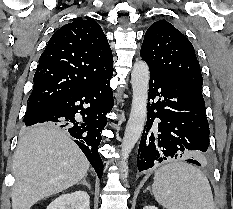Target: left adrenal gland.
<instances>
[{
	"label": "left adrenal gland",
	"mask_w": 233,
	"mask_h": 209,
	"mask_svg": "<svg viewBox=\"0 0 233 209\" xmlns=\"http://www.w3.org/2000/svg\"><path fill=\"white\" fill-rule=\"evenodd\" d=\"M147 190H150V187H147L146 190L144 192H146Z\"/></svg>",
	"instance_id": "obj_1"
}]
</instances>
